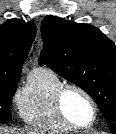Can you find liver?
<instances>
[{
  "mask_svg": "<svg viewBox=\"0 0 116 134\" xmlns=\"http://www.w3.org/2000/svg\"><path fill=\"white\" fill-rule=\"evenodd\" d=\"M0 134H36L32 131H21V130H15V129H1L0 128Z\"/></svg>",
  "mask_w": 116,
  "mask_h": 134,
  "instance_id": "obj_1",
  "label": "liver"
}]
</instances>
